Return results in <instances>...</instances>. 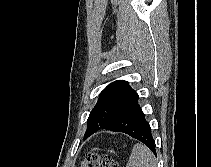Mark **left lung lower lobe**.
<instances>
[{
	"label": "left lung lower lobe",
	"mask_w": 211,
	"mask_h": 167,
	"mask_svg": "<svg viewBox=\"0 0 211 167\" xmlns=\"http://www.w3.org/2000/svg\"><path fill=\"white\" fill-rule=\"evenodd\" d=\"M100 129L123 132L144 143L156 155L155 141L149 123L138 105V97L128 104L113 120L85 134L84 139Z\"/></svg>",
	"instance_id": "obj_1"
}]
</instances>
